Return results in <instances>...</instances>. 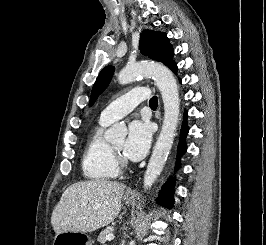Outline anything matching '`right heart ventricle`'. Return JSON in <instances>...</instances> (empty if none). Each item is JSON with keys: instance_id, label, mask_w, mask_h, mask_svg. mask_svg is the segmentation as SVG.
Here are the masks:
<instances>
[{"instance_id": "1", "label": "right heart ventricle", "mask_w": 266, "mask_h": 245, "mask_svg": "<svg viewBox=\"0 0 266 245\" xmlns=\"http://www.w3.org/2000/svg\"><path fill=\"white\" fill-rule=\"evenodd\" d=\"M109 123H98L89 132L81 161L84 178L95 183H107L118 178L120 170L114 163L109 143L102 136Z\"/></svg>"}]
</instances>
